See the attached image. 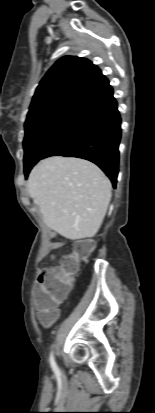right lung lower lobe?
<instances>
[{
  "instance_id": "right-lung-lower-lobe-1",
  "label": "right lung lower lobe",
  "mask_w": 155,
  "mask_h": 413,
  "mask_svg": "<svg viewBox=\"0 0 155 413\" xmlns=\"http://www.w3.org/2000/svg\"><path fill=\"white\" fill-rule=\"evenodd\" d=\"M120 124L117 102L108 84L78 105L65 130L43 158L61 155L89 160L97 164L116 187Z\"/></svg>"
}]
</instances>
